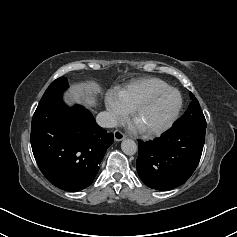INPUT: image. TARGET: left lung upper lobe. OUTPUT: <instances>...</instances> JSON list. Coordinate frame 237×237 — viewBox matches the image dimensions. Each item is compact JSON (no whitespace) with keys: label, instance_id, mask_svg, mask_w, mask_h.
Instances as JSON below:
<instances>
[{"label":"left lung upper lobe","instance_id":"obj_1","mask_svg":"<svg viewBox=\"0 0 237 237\" xmlns=\"http://www.w3.org/2000/svg\"><path fill=\"white\" fill-rule=\"evenodd\" d=\"M192 102L183 116L176 121L173 127H204L206 128V120L201 111L198 100L190 93Z\"/></svg>","mask_w":237,"mask_h":237}]
</instances>
